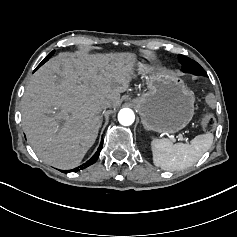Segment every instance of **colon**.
<instances>
[{"mask_svg": "<svg viewBox=\"0 0 237 237\" xmlns=\"http://www.w3.org/2000/svg\"><path fill=\"white\" fill-rule=\"evenodd\" d=\"M207 102L211 106H214L216 104L215 96L213 94H210L207 97ZM215 125H216V121L212 114L206 112L200 116V126L204 131L211 132L215 128Z\"/></svg>", "mask_w": 237, "mask_h": 237, "instance_id": "colon-1", "label": "colon"}]
</instances>
